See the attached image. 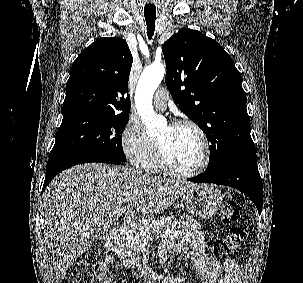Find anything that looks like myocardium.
Returning a JSON list of instances; mask_svg holds the SVG:
<instances>
[{"mask_svg":"<svg viewBox=\"0 0 303 283\" xmlns=\"http://www.w3.org/2000/svg\"><path fill=\"white\" fill-rule=\"evenodd\" d=\"M171 126H175V127L188 126L198 134L201 140L202 150H203L202 160L199 166L193 170L190 171L178 170L175 167H173L171 163L168 161L164 149L162 148L161 144L156 140V155H157L159 167L164 172L180 178H192L203 173L208 167L211 159V145L205 131L200 127L199 124H197L195 121L190 119L177 120Z\"/></svg>","mask_w":303,"mask_h":283,"instance_id":"myocardium-1","label":"myocardium"}]
</instances>
